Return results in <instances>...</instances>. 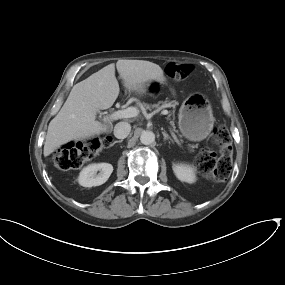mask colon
<instances>
[{"label": "colon", "instance_id": "obj_1", "mask_svg": "<svg viewBox=\"0 0 285 285\" xmlns=\"http://www.w3.org/2000/svg\"><path fill=\"white\" fill-rule=\"evenodd\" d=\"M193 71V66L187 64L171 62L167 65L168 74L179 80L190 78ZM211 140L219 154L211 148L204 147L197 155L196 164L202 177L223 181L229 176L232 167V147L226 127H216ZM101 147L102 142L98 138L86 140L79 148L70 143L55 151L53 163L60 170L78 169L92 152Z\"/></svg>", "mask_w": 285, "mask_h": 285}]
</instances>
